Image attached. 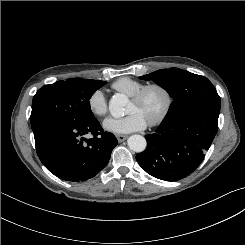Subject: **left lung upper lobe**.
<instances>
[{
  "mask_svg": "<svg viewBox=\"0 0 245 245\" xmlns=\"http://www.w3.org/2000/svg\"><path fill=\"white\" fill-rule=\"evenodd\" d=\"M139 79L153 80L174 99L161 124L170 123L195 109L209 108L220 112V97L204 76L170 68L155 71Z\"/></svg>",
  "mask_w": 245,
  "mask_h": 245,
  "instance_id": "obj_1",
  "label": "left lung upper lobe"
}]
</instances>
